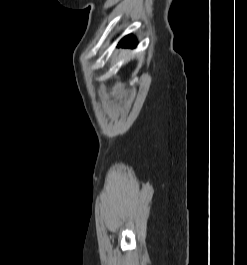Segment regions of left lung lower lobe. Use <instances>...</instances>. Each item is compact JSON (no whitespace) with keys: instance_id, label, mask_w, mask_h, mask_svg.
<instances>
[{"instance_id":"1","label":"left lung lower lobe","mask_w":247,"mask_h":265,"mask_svg":"<svg viewBox=\"0 0 247 265\" xmlns=\"http://www.w3.org/2000/svg\"><path fill=\"white\" fill-rule=\"evenodd\" d=\"M137 44L136 40L132 36H126L124 37L118 44V46H123V47H135Z\"/></svg>"}]
</instances>
